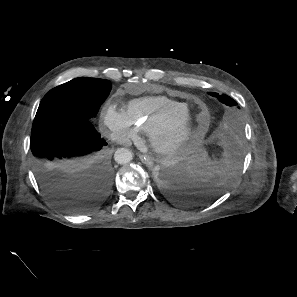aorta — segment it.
I'll return each mask as SVG.
<instances>
[{
    "instance_id": "762f6f07",
    "label": "aorta",
    "mask_w": 297,
    "mask_h": 297,
    "mask_svg": "<svg viewBox=\"0 0 297 297\" xmlns=\"http://www.w3.org/2000/svg\"><path fill=\"white\" fill-rule=\"evenodd\" d=\"M114 159L119 164H126L133 159V153L127 148H119L115 152Z\"/></svg>"
}]
</instances>
